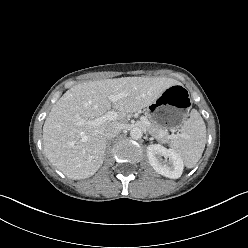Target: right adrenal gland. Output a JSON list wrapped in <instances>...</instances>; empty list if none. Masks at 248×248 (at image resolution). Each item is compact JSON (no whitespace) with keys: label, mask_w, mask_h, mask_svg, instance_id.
<instances>
[{"label":"right adrenal gland","mask_w":248,"mask_h":248,"mask_svg":"<svg viewBox=\"0 0 248 248\" xmlns=\"http://www.w3.org/2000/svg\"><path fill=\"white\" fill-rule=\"evenodd\" d=\"M110 145H111V139L107 141V149L110 148Z\"/></svg>","instance_id":"right-adrenal-gland-1"}]
</instances>
